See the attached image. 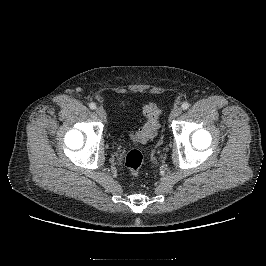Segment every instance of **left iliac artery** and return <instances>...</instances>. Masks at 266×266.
<instances>
[{"label": "left iliac artery", "instance_id": "1", "mask_svg": "<svg viewBox=\"0 0 266 266\" xmlns=\"http://www.w3.org/2000/svg\"><path fill=\"white\" fill-rule=\"evenodd\" d=\"M189 106H190V104L188 102H184L181 107L183 110H187L189 108Z\"/></svg>", "mask_w": 266, "mask_h": 266}]
</instances>
